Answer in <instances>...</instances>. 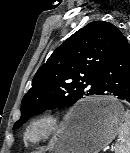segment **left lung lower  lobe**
<instances>
[{
    "label": "left lung lower lobe",
    "mask_w": 130,
    "mask_h": 153,
    "mask_svg": "<svg viewBox=\"0 0 130 153\" xmlns=\"http://www.w3.org/2000/svg\"><path fill=\"white\" fill-rule=\"evenodd\" d=\"M114 95L130 103V45L124 35L120 38L100 76L97 95ZM95 113L92 108H81L76 119L85 120Z\"/></svg>",
    "instance_id": "obj_1"
}]
</instances>
